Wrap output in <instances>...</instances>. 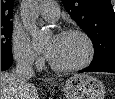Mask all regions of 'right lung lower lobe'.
<instances>
[{
	"label": "right lung lower lobe",
	"mask_w": 115,
	"mask_h": 99,
	"mask_svg": "<svg viewBox=\"0 0 115 99\" xmlns=\"http://www.w3.org/2000/svg\"><path fill=\"white\" fill-rule=\"evenodd\" d=\"M12 65V58L1 59V70H7Z\"/></svg>",
	"instance_id": "right-lung-lower-lobe-1"
}]
</instances>
